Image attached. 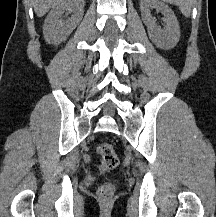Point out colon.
I'll use <instances>...</instances> for the list:
<instances>
[{"instance_id":"obj_1","label":"colon","mask_w":216,"mask_h":217,"mask_svg":"<svg viewBox=\"0 0 216 217\" xmlns=\"http://www.w3.org/2000/svg\"><path fill=\"white\" fill-rule=\"evenodd\" d=\"M97 153L101 166L106 170H113L119 165V158L114 146L104 142L98 145ZM98 198L103 203H109L114 196V187L111 184H103L97 190Z\"/></svg>"}]
</instances>
